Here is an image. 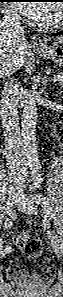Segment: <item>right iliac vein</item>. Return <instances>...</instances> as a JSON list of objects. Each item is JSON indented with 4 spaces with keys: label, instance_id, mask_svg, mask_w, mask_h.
Here are the masks:
<instances>
[{
    "label": "right iliac vein",
    "instance_id": "1",
    "mask_svg": "<svg viewBox=\"0 0 63 297\" xmlns=\"http://www.w3.org/2000/svg\"><path fill=\"white\" fill-rule=\"evenodd\" d=\"M17 197H18V195H16V193H13V194H11L9 196V198H8V203H9L8 204V211H11L12 210V207H13L14 203H16V201H17ZM7 253H9V252L6 250V248H2L0 250V256H1V258H4V256Z\"/></svg>",
    "mask_w": 63,
    "mask_h": 297
}]
</instances>
